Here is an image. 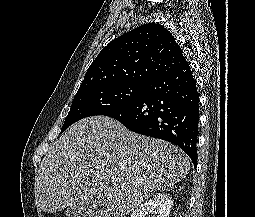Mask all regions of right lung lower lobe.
Listing matches in <instances>:
<instances>
[{"label":"right lung lower lobe","instance_id":"obj_1","mask_svg":"<svg viewBox=\"0 0 255 217\" xmlns=\"http://www.w3.org/2000/svg\"><path fill=\"white\" fill-rule=\"evenodd\" d=\"M198 104L196 81L187 63L149 83L131 104L105 116L118 120L133 132L176 144L196 166Z\"/></svg>","mask_w":255,"mask_h":217}]
</instances>
